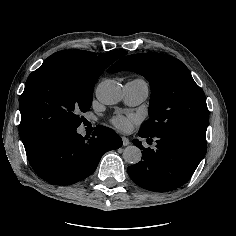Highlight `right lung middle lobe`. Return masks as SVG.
Listing matches in <instances>:
<instances>
[{
	"label": "right lung middle lobe",
	"instance_id": "right-lung-middle-lobe-1",
	"mask_svg": "<svg viewBox=\"0 0 236 236\" xmlns=\"http://www.w3.org/2000/svg\"><path fill=\"white\" fill-rule=\"evenodd\" d=\"M98 78L64 61L42 64L32 72L20 99L25 150L52 133L76 129L84 119L79 114L91 107Z\"/></svg>",
	"mask_w": 236,
	"mask_h": 236
}]
</instances>
